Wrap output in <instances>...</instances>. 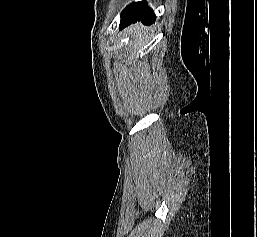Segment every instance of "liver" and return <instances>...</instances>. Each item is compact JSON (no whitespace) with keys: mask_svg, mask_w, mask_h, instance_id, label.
Here are the masks:
<instances>
[{"mask_svg":"<svg viewBox=\"0 0 257 237\" xmlns=\"http://www.w3.org/2000/svg\"><path fill=\"white\" fill-rule=\"evenodd\" d=\"M139 31H140V25L137 24L131 27V32H133L135 36H138Z\"/></svg>","mask_w":257,"mask_h":237,"instance_id":"liver-1","label":"liver"}]
</instances>
